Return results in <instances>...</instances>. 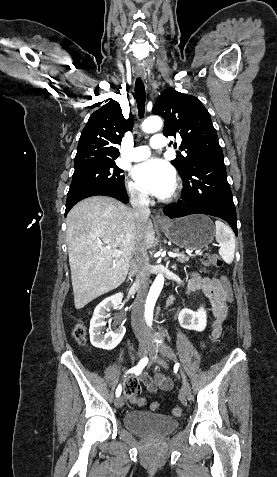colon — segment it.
<instances>
[{"mask_svg":"<svg viewBox=\"0 0 277 477\" xmlns=\"http://www.w3.org/2000/svg\"><path fill=\"white\" fill-rule=\"evenodd\" d=\"M201 264L203 268H219L223 265L221 258L215 254L206 253L201 257ZM220 282L223 285V291L225 292V301L228 304H233L235 302V293L234 289L229 283V280L226 276L220 277ZM86 330L81 321L77 322L73 329V336L79 344L85 343ZM126 393L129 397V400L132 404L141 405L143 399L139 397V386L132 381H128L125 387ZM151 410H157L159 408L158 402H152L150 404ZM173 414L175 416H180L182 414L181 407H175L173 409Z\"/></svg>","mask_w":277,"mask_h":477,"instance_id":"5ec220e1","label":"colon"}]
</instances>
